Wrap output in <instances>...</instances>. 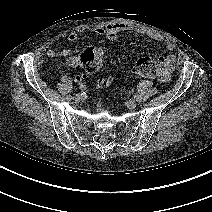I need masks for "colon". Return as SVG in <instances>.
Here are the masks:
<instances>
[{"label": "colon", "instance_id": "obj_1", "mask_svg": "<svg viewBox=\"0 0 212 212\" xmlns=\"http://www.w3.org/2000/svg\"><path fill=\"white\" fill-rule=\"evenodd\" d=\"M104 59V50L101 47H93L84 51L81 55L71 60V65L75 67H83L88 72H95L100 68ZM162 59H154L152 57L138 58L131 68V73L145 77L158 78L161 75ZM109 80L105 81L108 84Z\"/></svg>", "mask_w": 212, "mask_h": 212}]
</instances>
